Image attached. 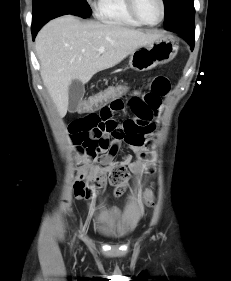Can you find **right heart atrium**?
Wrapping results in <instances>:
<instances>
[{"label": "right heart atrium", "mask_w": 231, "mask_h": 281, "mask_svg": "<svg viewBox=\"0 0 231 281\" xmlns=\"http://www.w3.org/2000/svg\"><path fill=\"white\" fill-rule=\"evenodd\" d=\"M88 3H92L93 2V0H86Z\"/></svg>", "instance_id": "right-heart-atrium-1"}]
</instances>
